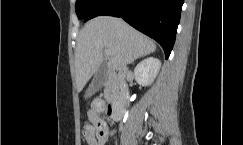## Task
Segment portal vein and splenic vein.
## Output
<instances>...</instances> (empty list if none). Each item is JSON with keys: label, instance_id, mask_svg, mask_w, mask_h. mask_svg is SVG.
<instances>
[{"label": "portal vein and splenic vein", "instance_id": "obj_1", "mask_svg": "<svg viewBox=\"0 0 243 145\" xmlns=\"http://www.w3.org/2000/svg\"><path fill=\"white\" fill-rule=\"evenodd\" d=\"M105 54H106V55H110V52H109V51H105Z\"/></svg>", "mask_w": 243, "mask_h": 145}]
</instances>
